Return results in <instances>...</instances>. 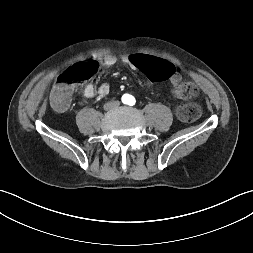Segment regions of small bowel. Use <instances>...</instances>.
Instances as JSON below:
<instances>
[{"label":"small bowel","mask_w":253,"mask_h":253,"mask_svg":"<svg viewBox=\"0 0 253 253\" xmlns=\"http://www.w3.org/2000/svg\"><path fill=\"white\" fill-rule=\"evenodd\" d=\"M134 54H143V53H134ZM131 55L132 54H128L124 56L122 58V61L128 66H130L132 69L142 70L140 67L136 66L130 61ZM100 61L105 67H111L116 63L117 58L113 54L108 53L100 57ZM162 78H168L171 84L176 86L180 83L182 76H181V73L174 68V72L171 75L167 77H162ZM109 92H110V86L107 83H103L99 87H96L94 84L89 83L83 88V95L86 98H93L95 96L104 97Z\"/></svg>","instance_id":"1"}]
</instances>
